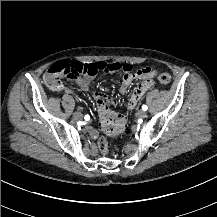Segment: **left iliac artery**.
Returning a JSON list of instances; mask_svg holds the SVG:
<instances>
[{"mask_svg":"<svg viewBox=\"0 0 217 217\" xmlns=\"http://www.w3.org/2000/svg\"><path fill=\"white\" fill-rule=\"evenodd\" d=\"M142 109H143L144 111H146V110L148 109V107H147L146 105H143V106H142Z\"/></svg>","mask_w":217,"mask_h":217,"instance_id":"1","label":"left iliac artery"}]
</instances>
